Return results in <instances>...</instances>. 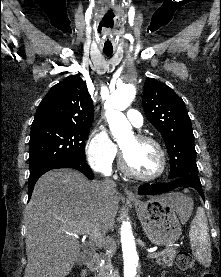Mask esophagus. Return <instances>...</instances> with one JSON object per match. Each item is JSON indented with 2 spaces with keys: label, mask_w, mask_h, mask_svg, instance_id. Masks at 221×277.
I'll return each instance as SVG.
<instances>
[{
  "label": "esophagus",
  "mask_w": 221,
  "mask_h": 277,
  "mask_svg": "<svg viewBox=\"0 0 221 277\" xmlns=\"http://www.w3.org/2000/svg\"><path fill=\"white\" fill-rule=\"evenodd\" d=\"M124 193L131 200H136L137 199L136 195L130 190L125 189Z\"/></svg>",
  "instance_id": "esophagus-1"
}]
</instances>
